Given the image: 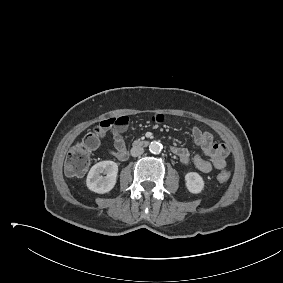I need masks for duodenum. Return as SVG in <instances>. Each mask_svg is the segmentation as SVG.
Here are the masks:
<instances>
[{
    "label": "duodenum",
    "instance_id": "obj_1",
    "mask_svg": "<svg viewBox=\"0 0 283 283\" xmlns=\"http://www.w3.org/2000/svg\"><path fill=\"white\" fill-rule=\"evenodd\" d=\"M148 145V142L147 141H136L135 143H134V146L135 147H145V146H147Z\"/></svg>",
    "mask_w": 283,
    "mask_h": 283
}]
</instances>
